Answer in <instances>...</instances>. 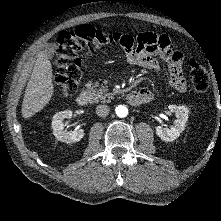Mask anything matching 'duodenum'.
Returning <instances> with one entry per match:
<instances>
[{
	"label": "duodenum",
	"mask_w": 221,
	"mask_h": 221,
	"mask_svg": "<svg viewBox=\"0 0 221 221\" xmlns=\"http://www.w3.org/2000/svg\"><path fill=\"white\" fill-rule=\"evenodd\" d=\"M127 100L132 105H140L146 102V98L137 91L128 93ZM89 101V95L86 92H81L76 98V102L79 106H87Z\"/></svg>",
	"instance_id": "410a0bca"
}]
</instances>
